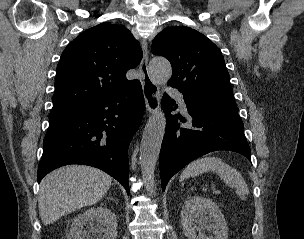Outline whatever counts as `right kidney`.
Instances as JSON below:
<instances>
[{"label":"right kidney","instance_id":"right-kidney-1","mask_svg":"<svg viewBox=\"0 0 304 239\" xmlns=\"http://www.w3.org/2000/svg\"><path fill=\"white\" fill-rule=\"evenodd\" d=\"M87 225L88 231L83 230ZM117 219L106 207H93L77 215L67 239H116Z\"/></svg>","mask_w":304,"mask_h":239}]
</instances>
